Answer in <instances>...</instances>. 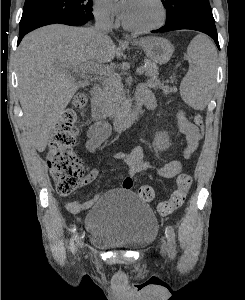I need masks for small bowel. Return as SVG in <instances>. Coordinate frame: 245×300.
<instances>
[{
    "label": "small bowel",
    "mask_w": 245,
    "mask_h": 300,
    "mask_svg": "<svg viewBox=\"0 0 245 300\" xmlns=\"http://www.w3.org/2000/svg\"><path fill=\"white\" fill-rule=\"evenodd\" d=\"M138 91L146 93L151 101V108L155 105V100L150 91L145 86L139 87ZM177 125L179 131L185 136L187 146L183 152V160H187L196 151L201 140V132L199 128L190 122L181 110L176 113ZM111 135V127L108 123L102 124L94 122L87 132L86 149L89 152L95 151L105 140ZM114 159L123 161L129 166L127 175L122 180L123 189L130 190L133 186V179L139 172L152 171L162 178L170 179L180 174L182 171V161L172 160L166 164L155 167L150 160L145 157V149L142 145L135 146L129 154L115 153ZM98 176V170L92 169L84 178L83 185H87L94 181ZM95 199L80 203L78 201H69L66 208L69 212L77 214L89 208Z\"/></svg>",
    "instance_id": "obj_1"
}]
</instances>
